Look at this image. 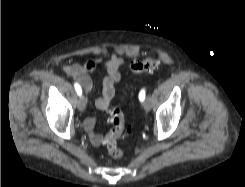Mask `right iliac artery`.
I'll use <instances>...</instances> for the list:
<instances>
[{
    "mask_svg": "<svg viewBox=\"0 0 245 187\" xmlns=\"http://www.w3.org/2000/svg\"><path fill=\"white\" fill-rule=\"evenodd\" d=\"M75 90L79 96L82 94L81 86L78 83H74Z\"/></svg>",
    "mask_w": 245,
    "mask_h": 187,
    "instance_id": "82829eb1",
    "label": "right iliac artery"
}]
</instances>
